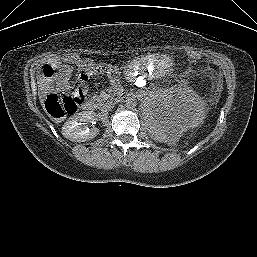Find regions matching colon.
Wrapping results in <instances>:
<instances>
[{"label": "colon", "mask_w": 257, "mask_h": 257, "mask_svg": "<svg viewBox=\"0 0 257 257\" xmlns=\"http://www.w3.org/2000/svg\"><path fill=\"white\" fill-rule=\"evenodd\" d=\"M190 61H200L203 56L201 53L191 51L188 53ZM99 70L97 66H88L77 77L75 84L60 93H49L45 98L47 112L55 119L62 118L65 114L76 112L86 99L89 89L88 80L92 73ZM53 68L45 65L42 68V75L46 78L53 77Z\"/></svg>", "instance_id": "1"}]
</instances>
